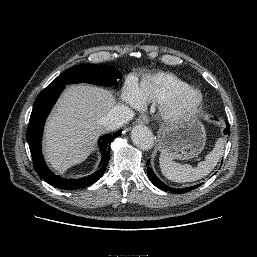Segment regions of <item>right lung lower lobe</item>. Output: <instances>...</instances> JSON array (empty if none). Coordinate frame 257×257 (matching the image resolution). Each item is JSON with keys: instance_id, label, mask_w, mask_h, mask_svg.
I'll return each instance as SVG.
<instances>
[{"instance_id": "1", "label": "right lung lower lobe", "mask_w": 257, "mask_h": 257, "mask_svg": "<svg viewBox=\"0 0 257 257\" xmlns=\"http://www.w3.org/2000/svg\"><path fill=\"white\" fill-rule=\"evenodd\" d=\"M64 88L65 86L45 88L40 92L34 102L26 137L31 151L33 165L37 173L52 186L74 190L87 187L103 176L110 159V144L114 138L121 135L122 130L115 132L113 135L108 134L100 138L102 139L99 142L102 152L101 166L92 175L79 179H64L53 174L44 162L41 152V139L46 117Z\"/></svg>"}]
</instances>
